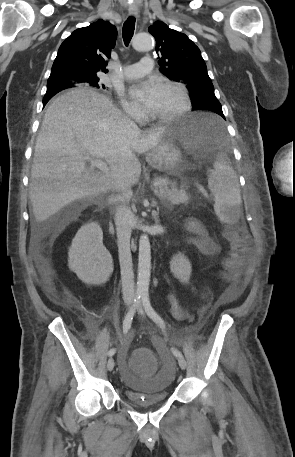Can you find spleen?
Returning a JSON list of instances; mask_svg holds the SVG:
<instances>
[{"instance_id": "spleen-1", "label": "spleen", "mask_w": 295, "mask_h": 457, "mask_svg": "<svg viewBox=\"0 0 295 457\" xmlns=\"http://www.w3.org/2000/svg\"><path fill=\"white\" fill-rule=\"evenodd\" d=\"M208 186L214 196V211L220 221L233 223L241 204L240 187L235 171L222 153L217 155L213 163Z\"/></svg>"}]
</instances>
